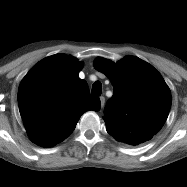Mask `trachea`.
I'll return each instance as SVG.
<instances>
[{
    "label": "trachea",
    "mask_w": 187,
    "mask_h": 187,
    "mask_svg": "<svg viewBox=\"0 0 187 187\" xmlns=\"http://www.w3.org/2000/svg\"><path fill=\"white\" fill-rule=\"evenodd\" d=\"M102 92V84L99 81H96L92 86V95L100 96Z\"/></svg>",
    "instance_id": "3493384b"
}]
</instances>
